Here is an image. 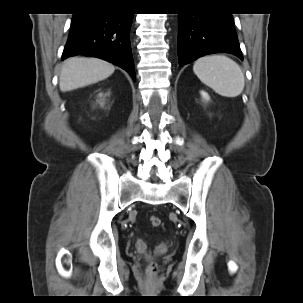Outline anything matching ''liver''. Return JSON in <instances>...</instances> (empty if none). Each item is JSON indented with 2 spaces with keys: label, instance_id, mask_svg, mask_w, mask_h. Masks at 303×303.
I'll use <instances>...</instances> for the list:
<instances>
[{
  "label": "liver",
  "instance_id": "1",
  "mask_svg": "<svg viewBox=\"0 0 303 303\" xmlns=\"http://www.w3.org/2000/svg\"><path fill=\"white\" fill-rule=\"evenodd\" d=\"M115 67L101 59L72 57L64 61L59 86L62 92L84 87L113 74Z\"/></svg>",
  "mask_w": 303,
  "mask_h": 303
}]
</instances>
